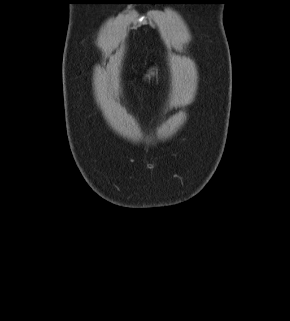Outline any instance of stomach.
I'll use <instances>...</instances> for the list:
<instances>
[{"instance_id":"obj_1","label":"stomach","mask_w":290,"mask_h":321,"mask_svg":"<svg viewBox=\"0 0 290 321\" xmlns=\"http://www.w3.org/2000/svg\"><path fill=\"white\" fill-rule=\"evenodd\" d=\"M151 75H154L153 71H150L148 75H146V77L150 78Z\"/></svg>"}]
</instances>
